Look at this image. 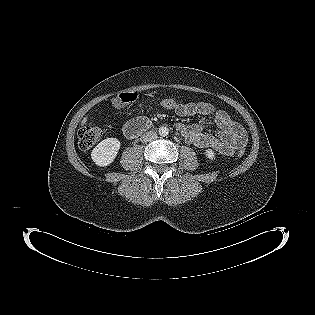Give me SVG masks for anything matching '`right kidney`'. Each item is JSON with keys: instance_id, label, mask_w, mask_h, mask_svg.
<instances>
[{"instance_id": "obj_1", "label": "right kidney", "mask_w": 315, "mask_h": 315, "mask_svg": "<svg viewBox=\"0 0 315 315\" xmlns=\"http://www.w3.org/2000/svg\"><path fill=\"white\" fill-rule=\"evenodd\" d=\"M120 145L121 143L117 138H107L102 140L92 150L91 158L93 162L100 167L108 166L116 158Z\"/></svg>"}]
</instances>
